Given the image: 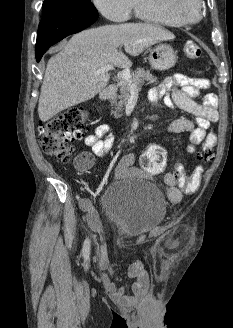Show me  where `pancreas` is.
<instances>
[{
    "label": "pancreas",
    "instance_id": "cf45deb5",
    "mask_svg": "<svg viewBox=\"0 0 233 328\" xmlns=\"http://www.w3.org/2000/svg\"><path fill=\"white\" fill-rule=\"evenodd\" d=\"M157 80L149 70L143 68H138L135 72L131 73V83L136 86L139 90L145 82L149 84ZM117 87L119 88V95H113L110 98L111 106L116 107V111H112L115 117H118V112L121 110L123 105H125L130 97V83L126 80L121 79ZM119 100V101H118Z\"/></svg>",
    "mask_w": 233,
    "mask_h": 328
}]
</instances>
